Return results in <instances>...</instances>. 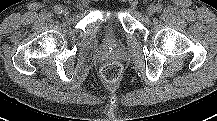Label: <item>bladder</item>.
<instances>
[{
	"mask_svg": "<svg viewBox=\"0 0 217 121\" xmlns=\"http://www.w3.org/2000/svg\"><path fill=\"white\" fill-rule=\"evenodd\" d=\"M116 16L115 15H111L110 19L107 21V23L105 24L106 27V37L107 40L110 43H115V31H116Z\"/></svg>",
	"mask_w": 217,
	"mask_h": 121,
	"instance_id": "bladder-1",
	"label": "bladder"
}]
</instances>
